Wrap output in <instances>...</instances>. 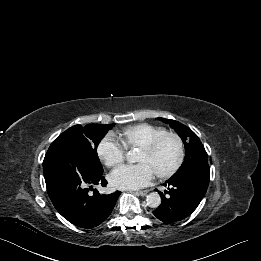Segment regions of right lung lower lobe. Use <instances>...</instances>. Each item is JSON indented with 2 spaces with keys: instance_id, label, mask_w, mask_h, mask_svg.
<instances>
[{
  "instance_id": "right-lung-lower-lobe-1",
  "label": "right lung lower lobe",
  "mask_w": 261,
  "mask_h": 261,
  "mask_svg": "<svg viewBox=\"0 0 261 261\" xmlns=\"http://www.w3.org/2000/svg\"><path fill=\"white\" fill-rule=\"evenodd\" d=\"M70 155V162L43 168L48 195L69 222L81 228L96 227L110 215L121 192L100 195L93 187L106 186L103 173L87 169L80 150Z\"/></svg>"
}]
</instances>
